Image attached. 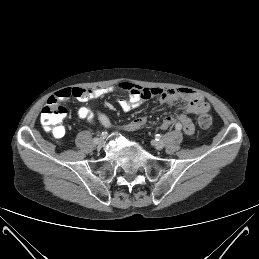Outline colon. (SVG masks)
I'll return each mask as SVG.
<instances>
[{"instance_id": "obj_1", "label": "colon", "mask_w": 259, "mask_h": 259, "mask_svg": "<svg viewBox=\"0 0 259 259\" xmlns=\"http://www.w3.org/2000/svg\"><path fill=\"white\" fill-rule=\"evenodd\" d=\"M66 115V109L59 104V101L50 98L41 111L40 121L45 131L51 133L56 138L64 134L62 120ZM198 124L202 128H208L212 124V117L208 112L200 113Z\"/></svg>"}]
</instances>
